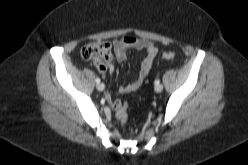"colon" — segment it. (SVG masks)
Here are the masks:
<instances>
[{"label": "colon", "mask_w": 248, "mask_h": 165, "mask_svg": "<svg viewBox=\"0 0 248 165\" xmlns=\"http://www.w3.org/2000/svg\"><path fill=\"white\" fill-rule=\"evenodd\" d=\"M81 56L85 60L94 61L100 70H105L108 63L112 60L111 45L104 41H93L83 46ZM175 54L173 52L163 53V59L173 60ZM111 105L116 111V117L120 123L124 124L127 121L128 106L119 100H111Z\"/></svg>", "instance_id": "1"}]
</instances>
